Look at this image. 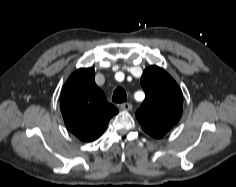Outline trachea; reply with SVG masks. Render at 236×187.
<instances>
[{"label": "trachea", "mask_w": 236, "mask_h": 187, "mask_svg": "<svg viewBox=\"0 0 236 187\" xmlns=\"http://www.w3.org/2000/svg\"><path fill=\"white\" fill-rule=\"evenodd\" d=\"M127 100V95L122 87H118L113 92L112 101L115 103H123Z\"/></svg>", "instance_id": "trachea-1"}]
</instances>
